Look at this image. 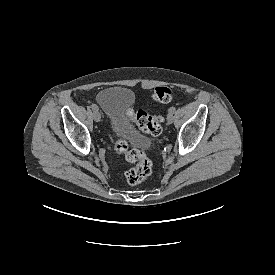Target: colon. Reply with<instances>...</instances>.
<instances>
[{"label":"colon","instance_id":"colon-1","mask_svg":"<svg viewBox=\"0 0 275 275\" xmlns=\"http://www.w3.org/2000/svg\"><path fill=\"white\" fill-rule=\"evenodd\" d=\"M172 95L170 88L159 86L153 90L152 98L158 103L165 104L170 102ZM128 115L144 133L152 136L161 134L163 118L160 115L148 114L143 110H130ZM114 150L117 154L124 155L128 162L136 163L133 168L126 172L128 184L137 185L151 174L152 162L143 151L131 148L124 139L115 140Z\"/></svg>","mask_w":275,"mask_h":275}]
</instances>
